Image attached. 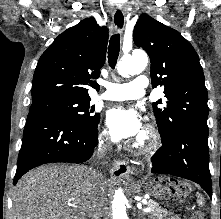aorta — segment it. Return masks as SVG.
<instances>
[{"mask_svg": "<svg viewBox=\"0 0 221 219\" xmlns=\"http://www.w3.org/2000/svg\"><path fill=\"white\" fill-rule=\"evenodd\" d=\"M148 64V57L144 52L134 51L131 55H124L117 64V71L122 77H129L141 73ZM124 192L119 189L113 201V219L125 218Z\"/></svg>", "mask_w": 221, "mask_h": 219, "instance_id": "aorta-1", "label": "aorta"}]
</instances>
